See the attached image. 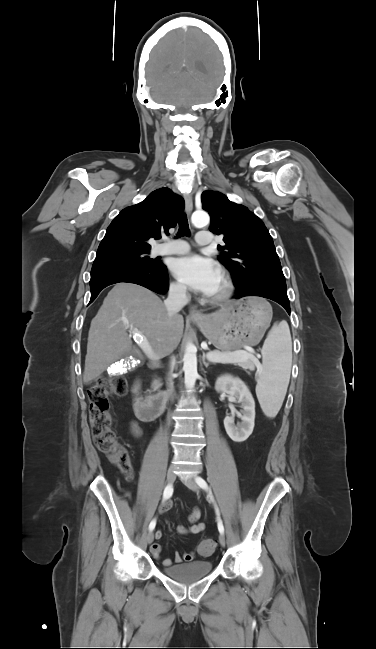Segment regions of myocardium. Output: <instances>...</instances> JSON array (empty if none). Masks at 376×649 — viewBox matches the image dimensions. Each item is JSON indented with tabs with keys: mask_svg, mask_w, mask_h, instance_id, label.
I'll return each mask as SVG.
<instances>
[{
	"mask_svg": "<svg viewBox=\"0 0 376 649\" xmlns=\"http://www.w3.org/2000/svg\"><path fill=\"white\" fill-rule=\"evenodd\" d=\"M220 276L223 283V288L218 294L209 296L208 301L211 304L224 303L231 297L234 290L233 282L229 274L226 271L222 270Z\"/></svg>",
	"mask_w": 376,
	"mask_h": 649,
	"instance_id": "myocardium-1",
	"label": "myocardium"
}]
</instances>
